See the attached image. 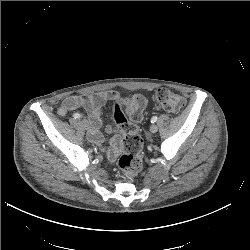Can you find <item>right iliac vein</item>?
<instances>
[{
	"label": "right iliac vein",
	"mask_w": 250,
	"mask_h": 250,
	"mask_svg": "<svg viewBox=\"0 0 250 250\" xmlns=\"http://www.w3.org/2000/svg\"><path fill=\"white\" fill-rule=\"evenodd\" d=\"M81 124L84 126L85 129H89V127H90L89 121L87 119H85V118H83L81 120Z\"/></svg>",
	"instance_id": "right-iliac-vein-1"
}]
</instances>
